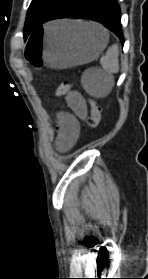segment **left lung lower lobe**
<instances>
[{
    "label": "left lung lower lobe",
    "instance_id": "0a47b994",
    "mask_svg": "<svg viewBox=\"0 0 148 279\" xmlns=\"http://www.w3.org/2000/svg\"><path fill=\"white\" fill-rule=\"evenodd\" d=\"M58 18L90 19L100 22L114 32L122 44L124 42L120 22L121 11L116 0H65L42 23Z\"/></svg>",
    "mask_w": 148,
    "mask_h": 279
}]
</instances>
